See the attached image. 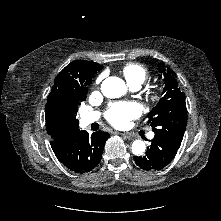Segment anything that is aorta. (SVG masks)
I'll return each mask as SVG.
<instances>
[{
    "label": "aorta",
    "instance_id": "762f6f07",
    "mask_svg": "<svg viewBox=\"0 0 221 221\" xmlns=\"http://www.w3.org/2000/svg\"><path fill=\"white\" fill-rule=\"evenodd\" d=\"M127 87L125 82L118 77H108L101 85V91L107 98H119L126 93ZM146 149L142 140H135L132 144V152L134 155H141Z\"/></svg>",
    "mask_w": 221,
    "mask_h": 221
}]
</instances>
